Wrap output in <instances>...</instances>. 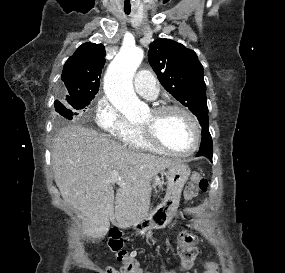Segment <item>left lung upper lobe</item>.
Listing matches in <instances>:
<instances>
[{
	"label": "left lung upper lobe",
	"instance_id": "5c2ea615",
	"mask_svg": "<svg viewBox=\"0 0 285 273\" xmlns=\"http://www.w3.org/2000/svg\"><path fill=\"white\" fill-rule=\"evenodd\" d=\"M148 60L164 88L207 127L206 84L195 52L173 40L157 39L150 44Z\"/></svg>",
	"mask_w": 285,
	"mask_h": 273
}]
</instances>
